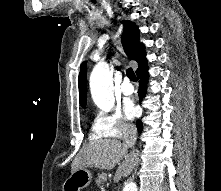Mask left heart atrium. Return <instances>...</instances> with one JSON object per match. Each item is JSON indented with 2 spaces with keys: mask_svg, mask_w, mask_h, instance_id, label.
<instances>
[{
  "mask_svg": "<svg viewBox=\"0 0 221 191\" xmlns=\"http://www.w3.org/2000/svg\"><path fill=\"white\" fill-rule=\"evenodd\" d=\"M124 111H125V114L128 118H130V119L133 118L136 114V108H135V105L133 104V102H131V101L125 102Z\"/></svg>",
  "mask_w": 221,
  "mask_h": 191,
  "instance_id": "1",
  "label": "left heart atrium"
}]
</instances>
